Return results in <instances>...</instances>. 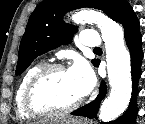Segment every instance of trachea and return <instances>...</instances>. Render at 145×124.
I'll return each instance as SVG.
<instances>
[{"mask_svg": "<svg viewBox=\"0 0 145 124\" xmlns=\"http://www.w3.org/2000/svg\"><path fill=\"white\" fill-rule=\"evenodd\" d=\"M94 50H101V48L100 47H96V48H94Z\"/></svg>", "mask_w": 145, "mask_h": 124, "instance_id": "trachea-1", "label": "trachea"}]
</instances>
